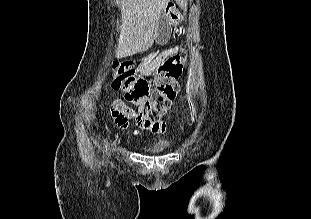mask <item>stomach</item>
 I'll return each mask as SVG.
<instances>
[{
	"label": "stomach",
	"mask_w": 311,
	"mask_h": 219,
	"mask_svg": "<svg viewBox=\"0 0 311 219\" xmlns=\"http://www.w3.org/2000/svg\"><path fill=\"white\" fill-rule=\"evenodd\" d=\"M163 16H165V18H167V20L173 24H177L181 20V15L179 13H173V14L168 13V14L163 15Z\"/></svg>",
	"instance_id": "obj_1"
}]
</instances>
